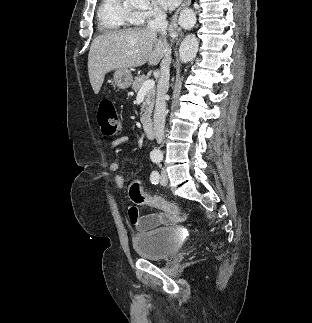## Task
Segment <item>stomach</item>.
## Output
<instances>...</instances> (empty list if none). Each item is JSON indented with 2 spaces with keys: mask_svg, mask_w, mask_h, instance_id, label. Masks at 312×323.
I'll list each match as a JSON object with an SVG mask.
<instances>
[{
  "mask_svg": "<svg viewBox=\"0 0 312 323\" xmlns=\"http://www.w3.org/2000/svg\"><path fill=\"white\" fill-rule=\"evenodd\" d=\"M113 80L119 90H126L132 84V74L128 68L115 70Z\"/></svg>",
  "mask_w": 312,
  "mask_h": 323,
  "instance_id": "stomach-1",
  "label": "stomach"
}]
</instances>
